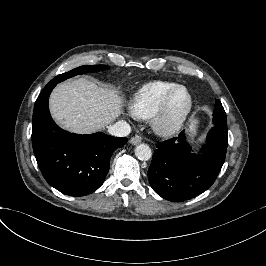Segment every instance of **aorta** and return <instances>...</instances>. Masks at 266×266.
Wrapping results in <instances>:
<instances>
[{
	"label": "aorta",
	"mask_w": 266,
	"mask_h": 266,
	"mask_svg": "<svg viewBox=\"0 0 266 266\" xmlns=\"http://www.w3.org/2000/svg\"><path fill=\"white\" fill-rule=\"evenodd\" d=\"M135 155L139 160L147 161L152 156V151L149 145L141 143L135 148Z\"/></svg>",
	"instance_id": "762f6f07"
}]
</instances>
